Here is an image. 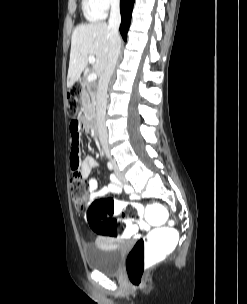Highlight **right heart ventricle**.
<instances>
[{
	"label": "right heart ventricle",
	"instance_id": "e07e8e85",
	"mask_svg": "<svg viewBox=\"0 0 247 304\" xmlns=\"http://www.w3.org/2000/svg\"><path fill=\"white\" fill-rule=\"evenodd\" d=\"M82 10L88 21H99L105 17V13L96 5L95 0H83Z\"/></svg>",
	"mask_w": 247,
	"mask_h": 304
}]
</instances>
